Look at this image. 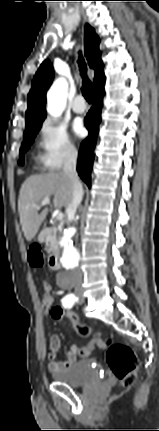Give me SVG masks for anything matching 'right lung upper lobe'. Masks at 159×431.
Returning <instances> with one entry per match:
<instances>
[{
	"label": "right lung upper lobe",
	"instance_id": "cb5924a9",
	"mask_svg": "<svg viewBox=\"0 0 159 431\" xmlns=\"http://www.w3.org/2000/svg\"><path fill=\"white\" fill-rule=\"evenodd\" d=\"M85 56L91 68L95 69V87L105 81L103 62L100 58L99 37L89 25L85 26ZM53 80V67L45 60L36 72L32 88L28 94V109L26 111V129L41 124L46 117V92Z\"/></svg>",
	"mask_w": 159,
	"mask_h": 431
}]
</instances>
